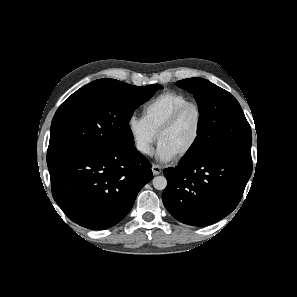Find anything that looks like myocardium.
Here are the masks:
<instances>
[{"label":"myocardium","mask_w":297,"mask_h":297,"mask_svg":"<svg viewBox=\"0 0 297 297\" xmlns=\"http://www.w3.org/2000/svg\"><path fill=\"white\" fill-rule=\"evenodd\" d=\"M190 109H193L196 112L197 129L190 144L177 155L178 158H184L187 155H189L195 149V147L198 145L200 141V138L203 133L204 122H205L204 114L200 106L195 102H188L182 105L163 123V125L159 128L156 134L157 140H159L161 135L166 131L172 129L180 121L183 115Z\"/></svg>","instance_id":"obj_1"}]
</instances>
